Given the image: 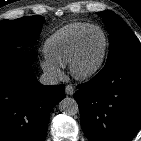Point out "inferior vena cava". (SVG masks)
<instances>
[{"label":"inferior vena cava","mask_w":141,"mask_h":141,"mask_svg":"<svg viewBox=\"0 0 141 141\" xmlns=\"http://www.w3.org/2000/svg\"><path fill=\"white\" fill-rule=\"evenodd\" d=\"M39 82L43 85H57L59 83V80L52 73L44 72L40 76Z\"/></svg>","instance_id":"602c4592"}]
</instances>
